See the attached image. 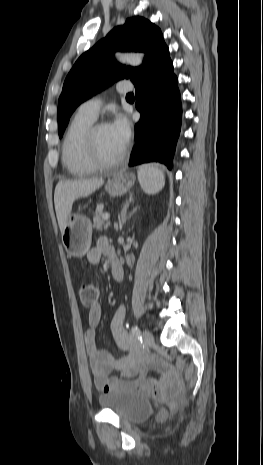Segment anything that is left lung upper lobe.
Returning <instances> with one entry per match:
<instances>
[{
  "label": "left lung upper lobe",
  "instance_id": "5c2ea615",
  "mask_svg": "<svg viewBox=\"0 0 263 465\" xmlns=\"http://www.w3.org/2000/svg\"><path fill=\"white\" fill-rule=\"evenodd\" d=\"M163 45V35L157 26L143 17H132L82 54L67 75L59 97V137H62L70 116L80 103L115 81L124 78L132 81ZM115 51L145 53L143 65L126 68L114 60Z\"/></svg>",
  "mask_w": 263,
  "mask_h": 465
}]
</instances>
